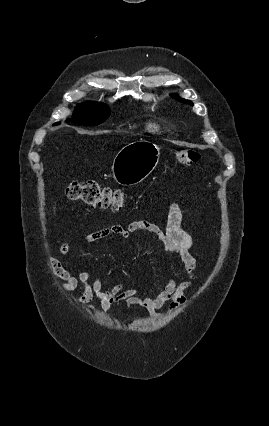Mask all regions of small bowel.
<instances>
[{
  "mask_svg": "<svg viewBox=\"0 0 269 426\" xmlns=\"http://www.w3.org/2000/svg\"><path fill=\"white\" fill-rule=\"evenodd\" d=\"M135 233H148L159 239L163 251L175 255L182 262L189 280L178 282L175 278L168 279L162 290L155 296H142L134 288H126L124 283H118L110 289H105L102 279L91 270H80L77 274L70 272L58 259L49 257V265L53 273L62 280L60 287L64 291H73L79 286L83 292L76 298V302L86 307L88 311H95L92 304L96 297L99 300V309L108 312L114 304L124 303L131 307L143 309L152 317H161V309L168 304V312H172L187 302L185 293L191 289L197 279V261L191 253L194 247L192 237L182 228V210L178 204L172 203L167 211L166 226L163 229L156 223L146 220H136L126 226L110 225L85 237L86 243H93L111 235L128 239ZM63 256L70 255L68 242L60 245Z\"/></svg>",
  "mask_w": 269,
  "mask_h": 426,
  "instance_id": "small-bowel-1",
  "label": "small bowel"
}]
</instances>
